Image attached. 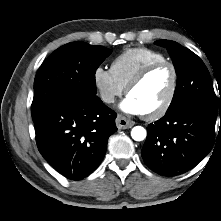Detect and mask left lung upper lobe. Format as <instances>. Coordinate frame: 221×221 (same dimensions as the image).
Here are the masks:
<instances>
[{"label":"left lung upper lobe","mask_w":221,"mask_h":221,"mask_svg":"<svg viewBox=\"0 0 221 221\" xmlns=\"http://www.w3.org/2000/svg\"><path fill=\"white\" fill-rule=\"evenodd\" d=\"M155 44L166 47L177 73V86L168 110L195 102L217 112L218 102L211 77L202 60L174 41L159 40Z\"/></svg>","instance_id":"left-lung-upper-lobe-1"}]
</instances>
